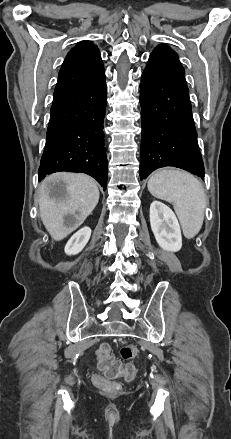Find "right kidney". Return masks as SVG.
I'll list each match as a JSON object with an SVG mask.
<instances>
[{"mask_svg":"<svg viewBox=\"0 0 231 439\" xmlns=\"http://www.w3.org/2000/svg\"><path fill=\"white\" fill-rule=\"evenodd\" d=\"M91 236V229L84 227L76 232L65 246V253L67 255H76L80 253L88 243Z\"/></svg>","mask_w":231,"mask_h":439,"instance_id":"obj_1","label":"right kidney"}]
</instances>
